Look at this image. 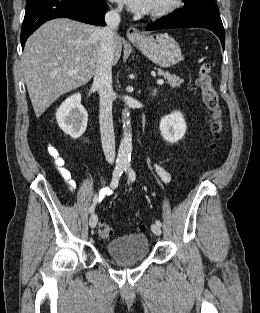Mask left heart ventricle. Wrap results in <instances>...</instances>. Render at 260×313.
Wrapping results in <instances>:
<instances>
[{
	"label": "left heart ventricle",
	"mask_w": 260,
	"mask_h": 313,
	"mask_svg": "<svg viewBox=\"0 0 260 313\" xmlns=\"http://www.w3.org/2000/svg\"><path fill=\"white\" fill-rule=\"evenodd\" d=\"M167 1L168 0H153L151 10L162 7L163 5L166 4Z\"/></svg>",
	"instance_id": "obj_1"
}]
</instances>
